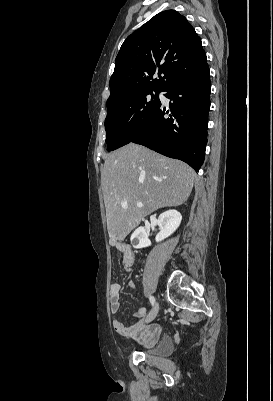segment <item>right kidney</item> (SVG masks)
<instances>
[{"label": "right kidney", "mask_w": 273, "mask_h": 401, "mask_svg": "<svg viewBox=\"0 0 273 401\" xmlns=\"http://www.w3.org/2000/svg\"><path fill=\"white\" fill-rule=\"evenodd\" d=\"M182 221L181 213L171 209V211H165L162 215H159L157 225L160 227V233L156 235V243L163 241L170 237L176 229H178ZM134 249H143V247H150L151 241L148 239V233H146L144 227H139L134 231L130 239Z\"/></svg>", "instance_id": "ca27d5eb"}]
</instances>
